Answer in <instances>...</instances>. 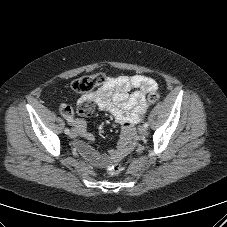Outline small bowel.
<instances>
[{
  "mask_svg": "<svg viewBox=\"0 0 227 227\" xmlns=\"http://www.w3.org/2000/svg\"><path fill=\"white\" fill-rule=\"evenodd\" d=\"M157 82L145 75L114 76L106 79L95 92L84 95L79 100L77 113L89 116L95 110L110 113L121 125V134L116 149L108 154L96 152L88 142L93 140L83 118L67 117L83 141H76L75 147L82 156L97 167L106 166L111 160L117 161L126 156L134 147V126L142 119L147 109L146 96L157 91Z\"/></svg>",
  "mask_w": 227,
  "mask_h": 227,
  "instance_id": "obj_1",
  "label": "small bowel"
}]
</instances>
